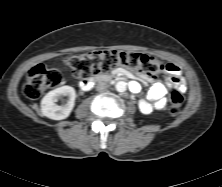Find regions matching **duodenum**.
Wrapping results in <instances>:
<instances>
[{
  "instance_id": "410a0bca",
  "label": "duodenum",
  "mask_w": 222,
  "mask_h": 187,
  "mask_svg": "<svg viewBox=\"0 0 222 187\" xmlns=\"http://www.w3.org/2000/svg\"><path fill=\"white\" fill-rule=\"evenodd\" d=\"M128 76L123 73H114L110 75H98L92 80H87L82 82L81 87L84 90H88L92 88L93 84L96 81H108V82H118V81H126Z\"/></svg>"
}]
</instances>
